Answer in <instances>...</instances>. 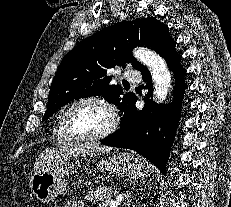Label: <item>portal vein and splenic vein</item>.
<instances>
[{"label":"portal vein and splenic vein","mask_w":231,"mask_h":207,"mask_svg":"<svg viewBox=\"0 0 231 207\" xmlns=\"http://www.w3.org/2000/svg\"><path fill=\"white\" fill-rule=\"evenodd\" d=\"M121 201H122V196H119V197L116 198V200L111 201L108 204H105V203L102 204V207H118L119 204L121 203Z\"/></svg>","instance_id":"18ae733b"}]
</instances>
